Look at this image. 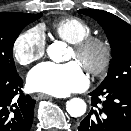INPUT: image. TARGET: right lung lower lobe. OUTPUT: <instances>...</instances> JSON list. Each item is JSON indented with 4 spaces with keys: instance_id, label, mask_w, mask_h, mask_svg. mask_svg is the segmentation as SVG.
Masks as SVG:
<instances>
[{
    "instance_id": "obj_1",
    "label": "right lung lower lobe",
    "mask_w": 131,
    "mask_h": 131,
    "mask_svg": "<svg viewBox=\"0 0 131 131\" xmlns=\"http://www.w3.org/2000/svg\"><path fill=\"white\" fill-rule=\"evenodd\" d=\"M18 73H0V131H29L35 100L25 95Z\"/></svg>"
}]
</instances>
